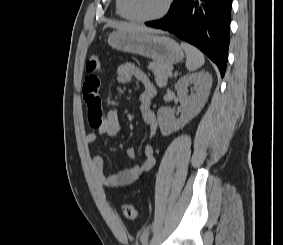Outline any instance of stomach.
Returning <instances> with one entry per match:
<instances>
[{
	"label": "stomach",
	"mask_w": 283,
	"mask_h": 245,
	"mask_svg": "<svg viewBox=\"0 0 283 245\" xmlns=\"http://www.w3.org/2000/svg\"><path fill=\"white\" fill-rule=\"evenodd\" d=\"M108 44L116 50L141 55L167 65L178 63L184 58L183 50L175 40L150 32L117 30L109 35Z\"/></svg>",
	"instance_id": "1"
}]
</instances>
